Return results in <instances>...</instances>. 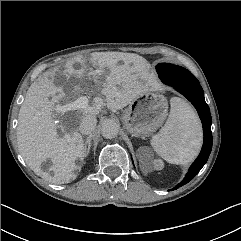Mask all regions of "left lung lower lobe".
<instances>
[{"mask_svg": "<svg viewBox=\"0 0 241 241\" xmlns=\"http://www.w3.org/2000/svg\"><path fill=\"white\" fill-rule=\"evenodd\" d=\"M160 78V77H159ZM162 82L172 85L178 92L184 95L197 109L203 125L204 143L202 150L197 159L191 165L189 172L186 174L183 182L178 184L174 189L191 181L205 165L212 149L211 133V115L208 105L204 99V92L198 80L187 83H171L163 78Z\"/></svg>", "mask_w": 241, "mask_h": 241, "instance_id": "obj_1", "label": "left lung lower lobe"}]
</instances>
